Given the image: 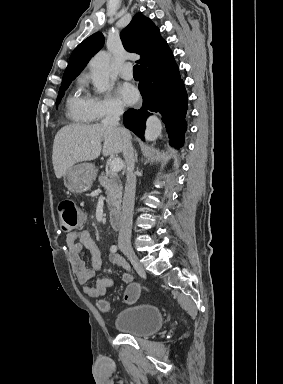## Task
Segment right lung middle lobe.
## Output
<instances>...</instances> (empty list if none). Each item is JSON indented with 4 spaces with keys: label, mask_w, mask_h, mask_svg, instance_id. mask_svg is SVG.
<instances>
[{
    "label": "right lung middle lobe",
    "mask_w": 283,
    "mask_h": 384,
    "mask_svg": "<svg viewBox=\"0 0 283 384\" xmlns=\"http://www.w3.org/2000/svg\"><path fill=\"white\" fill-rule=\"evenodd\" d=\"M71 82H68V83H62L60 89H59V93H58V98L56 100V104H59L63 95H64V92L67 90V88L69 87Z\"/></svg>",
    "instance_id": "1"
}]
</instances>
